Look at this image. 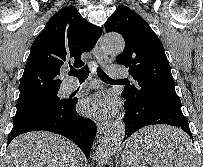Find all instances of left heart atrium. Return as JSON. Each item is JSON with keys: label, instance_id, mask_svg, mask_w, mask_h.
Returning a JSON list of instances; mask_svg holds the SVG:
<instances>
[{"label": "left heart atrium", "instance_id": "1", "mask_svg": "<svg viewBox=\"0 0 203 167\" xmlns=\"http://www.w3.org/2000/svg\"><path fill=\"white\" fill-rule=\"evenodd\" d=\"M116 107L115 99L107 93L87 97L80 104V109L84 114L99 118L111 116L114 114Z\"/></svg>", "mask_w": 203, "mask_h": 167}]
</instances>
